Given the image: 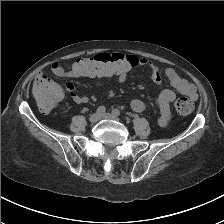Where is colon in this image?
<instances>
[{
    "instance_id": "colon-1",
    "label": "colon",
    "mask_w": 224,
    "mask_h": 224,
    "mask_svg": "<svg viewBox=\"0 0 224 224\" xmlns=\"http://www.w3.org/2000/svg\"><path fill=\"white\" fill-rule=\"evenodd\" d=\"M136 65L133 58L119 53H100L93 57L80 58L75 61L72 68L79 77H111L127 74ZM33 95L39 108L48 112L61 100L63 89L50 79L35 81ZM194 109L193 102L188 97H179L174 103V110L178 115L185 116Z\"/></svg>"
}]
</instances>
